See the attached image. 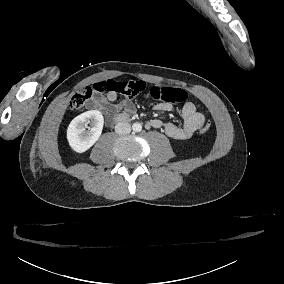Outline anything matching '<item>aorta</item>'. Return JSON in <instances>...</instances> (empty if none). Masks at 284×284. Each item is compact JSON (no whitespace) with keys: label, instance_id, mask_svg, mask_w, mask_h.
<instances>
[{"label":"aorta","instance_id":"1","mask_svg":"<svg viewBox=\"0 0 284 284\" xmlns=\"http://www.w3.org/2000/svg\"><path fill=\"white\" fill-rule=\"evenodd\" d=\"M132 129L134 132H140L142 130V125L136 122L132 125Z\"/></svg>","mask_w":284,"mask_h":284}]
</instances>
